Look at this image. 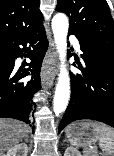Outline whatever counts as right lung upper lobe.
Here are the masks:
<instances>
[{
  "label": "right lung upper lobe",
  "mask_w": 114,
  "mask_h": 156,
  "mask_svg": "<svg viewBox=\"0 0 114 156\" xmlns=\"http://www.w3.org/2000/svg\"><path fill=\"white\" fill-rule=\"evenodd\" d=\"M40 0H0V42L42 23Z\"/></svg>",
  "instance_id": "1"
}]
</instances>
